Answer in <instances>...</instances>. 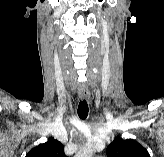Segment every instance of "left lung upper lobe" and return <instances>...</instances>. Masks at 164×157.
Here are the masks:
<instances>
[{
  "instance_id": "5c2ea615",
  "label": "left lung upper lobe",
  "mask_w": 164,
  "mask_h": 157,
  "mask_svg": "<svg viewBox=\"0 0 164 157\" xmlns=\"http://www.w3.org/2000/svg\"><path fill=\"white\" fill-rule=\"evenodd\" d=\"M107 157H150L148 151L132 139L116 137L106 149Z\"/></svg>"
}]
</instances>
